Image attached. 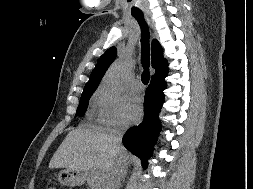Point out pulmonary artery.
Wrapping results in <instances>:
<instances>
[{"label":"pulmonary artery","mask_w":253,"mask_h":189,"mask_svg":"<svg viewBox=\"0 0 253 189\" xmlns=\"http://www.w3.org/2000/svg\"><path fill=\"white\" fill-rule=\"evenodd\" d=\"M132 87L136 90H140L141 89V83L138 81V79H135L132 82Z\"/></svg>","instance_id":"e3ab8cb5"}]
</instances>
